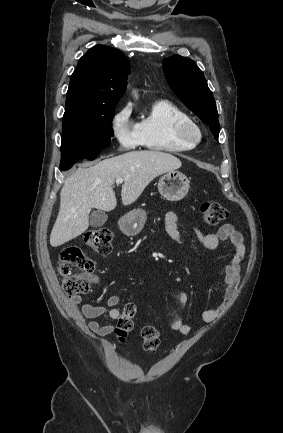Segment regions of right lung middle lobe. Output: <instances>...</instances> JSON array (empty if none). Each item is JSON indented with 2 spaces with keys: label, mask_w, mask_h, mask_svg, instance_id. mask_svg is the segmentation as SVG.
Segmentation results:
<instances>
[{
  "label": "right lung middle lobe",
  "mask_w": 283,
  "mask_h": 433,
  "mask_svg": "<svg viewBox=\"0 0 283 433\" xmlns=\"http://www.w3.org/2000/svg\"><path fill=\"white\" fill-rule=\"evenodd\" d=\"M116 104L82 105L65 110L61 152L100 153L113 136Z\"/></svg>",
  "instance_id": "right-lung-middle-lobe-1"
}]
</instances>
